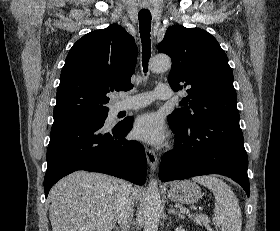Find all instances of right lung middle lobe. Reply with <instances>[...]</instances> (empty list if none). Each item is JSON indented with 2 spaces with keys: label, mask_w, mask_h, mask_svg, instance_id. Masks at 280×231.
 <instances>
[{
  "label": "right lung middle lobe",
  "mask_w": 280,
  "mask_h": 231,
  "mask_svg": "<svg viewBox=\"0 0 280 231\" xmlns=\"http://www.w3.org/2000/svg\"><path fill=\"white\" fill-rule=\"evenodd\" d=\"M108 113L106 114H102V115H98V116H94V117H90V118H86L83 120H79L77 122H89L91 124H104L106 118H107Z\"/></svg>",
  "instance_id": "obj_1"
}]
</instances>
